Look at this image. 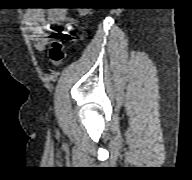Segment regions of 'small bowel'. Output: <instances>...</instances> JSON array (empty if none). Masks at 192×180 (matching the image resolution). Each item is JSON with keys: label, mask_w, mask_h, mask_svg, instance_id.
<instances>
[{"label": "small bowel", "mask_w": 192, "mask_h": 180, "mask_svg": "<svg viewBox=\"0 0 192 180\" xmlns=\"http://www.w3.org/2000/svg\"><path fill=\"white\" fill-rule=\"evenodd\" d=\"M86 13L85 9L80 11L81 15ZM24 22L35 49L44 51L49 42L47 31L60 25H65L68 29H71L76 20L69 17L67 11L63 8H51L48 10L38 8L27 10L24 14Z\"/></svg>", "instance_id": "small-bowel-1"}]
</instances>
